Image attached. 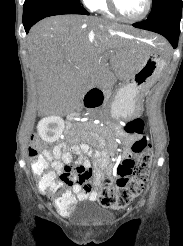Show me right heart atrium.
<instances>
[{"label":"right heart atrium","instance_id":"1","mask_svg":"<svg viewBox=\"0 0 183 246\" xmlns=\"http://www.w3.org/2000/svg\"><path fill=\"white\" fill-rule=\"evenodd\" d=\"M94 1H95V0H82V2H83L88 8H91L92 3H93Z\"/></svg>","mask_w":183,"mask_h":246}]
</instances>
